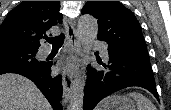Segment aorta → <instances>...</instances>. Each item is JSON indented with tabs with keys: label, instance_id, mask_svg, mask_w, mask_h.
Listing matches in <instances>:
<instances>
[{
	"label": "aorta",
	"instance_id": "aorta-1",
	"mask_svg": "<svg viewBox=\"0 0 171 110\" xmlns=\"http://www.w3.org/2000/svg\"><path fill=\"white\" fill-rule=\"evenodd\" d=\"M78 36L86 57L91 52L92 45L98 33L97 20L90 15L80 16L77 24ZM86 69L83 70L75 83V89L67 110H82L84 101V88L86 85Z\"/></svg>",
	"mask_w": 171,
	"mask_h": 110
}]
</instances>
